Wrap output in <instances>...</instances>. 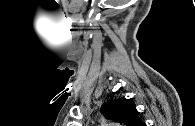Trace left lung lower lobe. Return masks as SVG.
Here are the masks:
<instances>
[{"instance_id":"left-lung-lower-lobe-1","label":"left lung lower lobe","mask_w":195,"mask_h":126,"mask_svg":"<svg viewBox=\"0 0 195 126\" xmlns=\"http://www.w3.org/2000/svg\"><path fill=\"white\" fill-rule=\"evenodd\" d=\"M140 126H146V124L145 123H142Z\"/></svg>"}]
</instances>
